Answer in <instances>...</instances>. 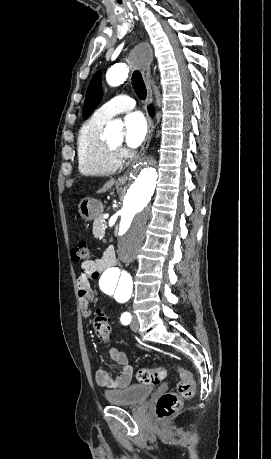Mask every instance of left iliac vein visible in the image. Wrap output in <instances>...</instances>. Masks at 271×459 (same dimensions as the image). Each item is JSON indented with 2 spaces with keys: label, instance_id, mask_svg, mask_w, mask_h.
<instances>
[{
  "label": "left iliac vein",
  "instance_id": "1",
  "mask_svg": "<svg viewBox=\"0 0 271 459\" xmlns=\"http://www.w3.org/2000/svg\"><path fill=\"white\" fill-rule=\"evenodd\" d=\"M131 329L134 331V332H138L139 330V322H138V318L135 314H133V318H132V322H131Z\"/></svg>",
  "mask_w": 271,
  "mask_h": 459
}]
</instances>
